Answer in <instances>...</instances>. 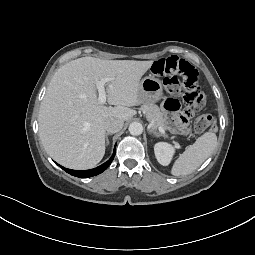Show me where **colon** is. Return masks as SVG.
<instances>
[{
    "mask_svg": "<svg viewBox=\"0 0 255 255\" xmlns=\"http://www.w3.org/2000/svg\"><path fill=\"white\" fill-rule=\"evenodd\" d=\"M152 71L155 75L164 77L165 87L171 95L183 97L184 116L190 117L194 110L202 108L205 104V95L200 88L198 73L189 62L172 56L156 61ZM214 125L215 117L205 113L196 118L194 129L202 133L213 128Z\"/></svg>",
    "mask_w": 255,
    "mask_h": 255,
    "instance_id": "colon-1",
    "label": "colon"
}]
</instances>
